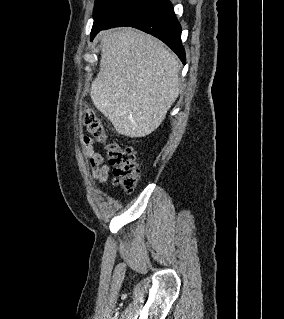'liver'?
<instances>
[{
    "instance_id": "obj_1",
    "label": "liver",
    "mask_w": 284,
    "mask_h": 319,
    "mask_svg": "<svg viewBox=\"0 0 284 319\" xmlns=\"http://www.w3.org/2000/svg\"><path fill=\"white\" fill-rule=\"evenodd\" d=\"M100 70L91 84L94 106L116 131L132 138L156 130L179 94L180 64L155 37L131 28L106 30Z\"/></svg>"
}]
</instances>
